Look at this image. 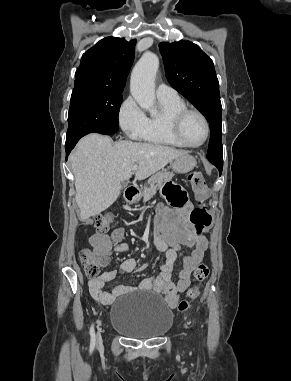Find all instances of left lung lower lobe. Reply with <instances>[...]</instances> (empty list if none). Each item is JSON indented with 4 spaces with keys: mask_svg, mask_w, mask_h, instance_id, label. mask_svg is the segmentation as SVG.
<instances>
[{
    "mask_svg": "<svg viewBox=\"0 0 291 381\" xmlns=\"http://www.w3.org/2000/svg\"><path fill=\"white\" fill-rule=\"evenodd\" d=\"M207 158L209 159V161L212 164H214L218 168L219 173L221 175L222 168H223V156H211V155H207Z\"/></svg>",
    "mask_w": 291,
    "mask_h": 381,
    "instance_id": "1",
    "label": "left lung lower lobe"
}]
</instances>
